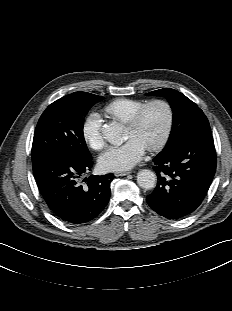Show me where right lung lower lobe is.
I'll return each mask as SVG.
<instances>
[{
  "label": "right lung lower lobe",
  "mask_w": 232,
  "mask_h": 311,
  "mask_svg": "<svg viewBox=\"0 0 232 311\" xmlns=\"http://www.w3.org/2000/svg\"><path fill=\"white\" fill-rule=\"evenodd\" d=\"M91 160L50 153L33 159L37 186L53 213L63 221L80 224L93 220L110 199L112 174L80 176L91 171Z\"/></svg>",
  "instance_id": "1"
}]
</instances>
